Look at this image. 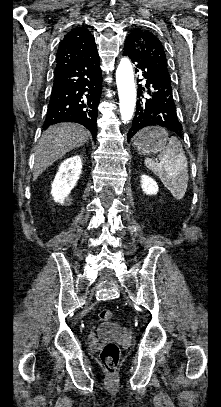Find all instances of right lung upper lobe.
<instances>
[{
	"label": "right lung upper lobe",
	"instance_id": "obj_1",
	"mask_svg": "<svg viewBox=\"0 0 221 407\" xmlns=\"http://www.w3.org/2000/svg\"><path fill=\"white\" fill-rule=\"evenodd\" d=\"M96 49L94 36L85 27L70 30L61 40L57 51L55 73L82 61Z\"/></svg>",
	"mask_w": 221,
	"mask_h": 407
}]
</instances>
